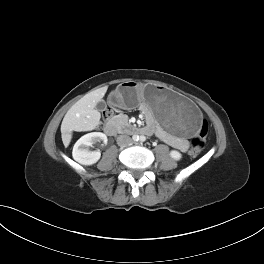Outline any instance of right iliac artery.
Masks as SVG:
<instances>
[{
	"label": "right iliac artery",
	"instance_id": "right-iliac-artery-1",
	"mask_svg": "<svg viewBox=\"0 0 264 264\" xmlns=\"http://www.w3.org/2000/svg\"><path fill=\"white\" fill-rule=\"evenodd\" d=\"M133 139H134V141H138L139 140V136L138 135H134Z\"/></svg>",
	"mask_w": 264,
	"mask_h": 264
}]
</instances>
